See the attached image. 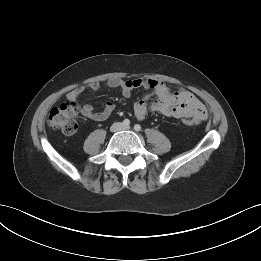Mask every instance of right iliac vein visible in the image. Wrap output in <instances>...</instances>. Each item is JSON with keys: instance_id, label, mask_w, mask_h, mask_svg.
Masks as SVG:
<instances>
[{"instance_id": "1", "label": "right iliac vein", "mask_w": 261, "mask_h": 261, "mask_svg": "<svg viewBox=\"0 0 261 261\" xmlns=\"http://www.w3.org/2000/svg\"><path fill=\"white\" fill-rule=\"evenodd\" d=\"M121 127H122V126H121L120 123H116V124H114V125L111 127V131H112V132H116V131L120 130Z\"/></svg>"}]
</instances>
